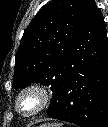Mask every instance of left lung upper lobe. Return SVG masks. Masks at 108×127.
Wrapping results in <instances>:
<instances>
[{"label": "left lung upper lobe", "mask_w": 108, "mask_h": 127, "mask_svg": "<svg viewBox=\"0 0 108 127\" xmlns=\"http://www.w3.org/2000/svg\"><path fill=\"white\" fill-rule=\"evenodd\" d=\"M89 1L53 0L42 7L20 41L14 67L17 87L39 82L51 86L55 96Z\"/></svg>", "instance_id": "left-lung-upper-lobe-1"}]
</instances>
